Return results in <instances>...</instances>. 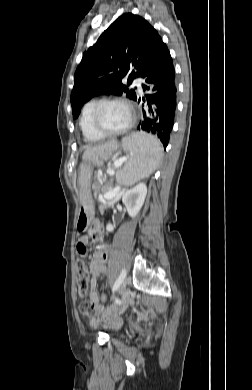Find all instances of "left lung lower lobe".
Instances as JSON below:
<instances>
[{
    "label": "left lung lower lobe",
    "mask_w": 252,
    "mask_h": 390,
    "mask_svg": "<svg viewBox=\"0 0 252 390\" xmlns=\"http://www.w3.org/2000/svg\"><path fill=\"white\" fill-rule=\"evenodd\" d=\"M142 78V88L147 91L142 100L147 107L142 109L144 119L138 129L156 135L166 148L176 113L177 83L173 60L165 43L161 44Z\"/></svg>",
    "instance_id": "1"
}]
</instances>
